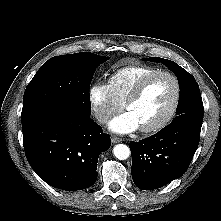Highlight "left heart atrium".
I'll return each mask as SVG.
<instances>
[{"instance_id":"left-heart-atrium-1","label":"left heart atrium","mask_w":221,"mask_h":221,"mask_svg":"<svg viewBox=\"0 0 221 221\" xmlns=\"http://www.w3.org/2000/svg\"><path fill=\"white\" fill-rule=\"evenodd\" d=\"M139 128V123L129 111L115 117L109 123V129L118 134H127Z\"/></svg>"}]
</instances>
